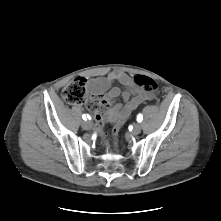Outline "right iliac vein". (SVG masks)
<instances>
[{"mask_svg":"<svg viewBox=\"0 0 221 221\" xmlns=\"http://www.w3.org/2000/svg\"><path fill=\"white\" fill-rule=\"evenodd\" d=\"M82 128L84 130H90L92 128V122L89 120L83 121L82 122Z\"/></svg>","mask_w":221,"mask_h":221,"instance_id":"63e3f726","label":"right iliac vein"}]
</instances>
